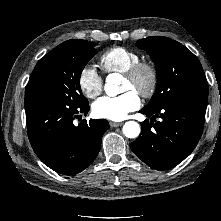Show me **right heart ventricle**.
Returning <instances> with one entry per match:
<instances>
[{"instance_id": "e07e8e85", "label": "right heart ventricle", "mask_w": 221, "mask_h": 221, "mask_svg": "<svg viewBox=\"0 0 221 221\" xmlns=\"http://www.w3.org/2000/svg\"><path fill=\"white\" fill-rule=\"evenodd\" d=\"M139 60L136 51L122 46L109 48L100 56V64L108 73L123 74Z\"/></svg>"}]
</instances>
